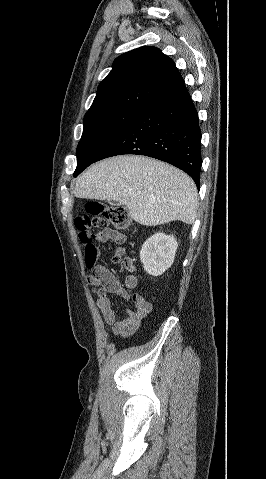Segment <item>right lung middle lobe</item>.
Wrapping results in <instances>:
<instances>
[{
  "label": "right lung middle lobe",
  "mask_w": 266,
  "mask_h": 479,
  "mask_svg": "<svg viewBox=\"0 0 266 479\" xmlns=\"http://www.w3.org/2000/svg\"><path fill=\"white\" fill-rule=\"evenodd\" d=\"M140 112L134 109L107 111L84 117V129L77 146V168L74 177L94 163L104 148Z\"/></svg>",
  "instance_id": "dd1d6c3e"
}]
</instances>
